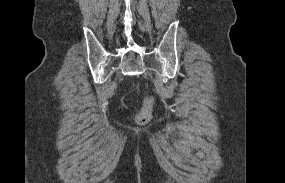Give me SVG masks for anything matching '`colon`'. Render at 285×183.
Returning a JSON list of instances; mask_svg holds the SVG:
<instances>
[{
  "instance_id": "1",
  "label": "colon",
  "mask_w": 285,
  "mask_h": 183,
  "mask_svg": "<svg viewBox=\"0 0 285 183\" xmlns=\"http://www.w3.org/2000/svg\"><path fill=\"white\" fill-rule=\"evenodd\" d=\"M152 113V99L147 98L142 109L136 114L135 120L138 124H146L151 119Z\"/></svg>"
}]
</instances>
